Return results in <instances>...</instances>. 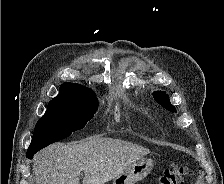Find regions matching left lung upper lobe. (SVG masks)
I'll use <instances>...</instances> for the list:
<instances>
[{
	"label": "left lung upper lobe",
	"instance_id": "left-lung-upper-lobe-1",
	"mask_svg": "<svg viewBox=\"0 0 224 184\" xmlns=\"http://www.w3.org/2000/svg\"><path fill=\"white\" fill-rule=\"evenodd\" d=\"M153 97L165 109L171 112H176V108L170 103L169 96L166 92L156 91L153 93Z\"/></svg>",
	"mask_w": 224,
	"mask_h": 184
}]
</instances>
